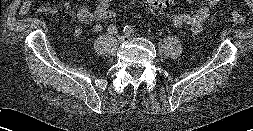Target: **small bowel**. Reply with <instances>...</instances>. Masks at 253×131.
Returning <instances> with one entry per match:
<instances>
[{"mask_svg": "<svg viewBox=\"0 0 253 131\" xmlns=\"http://www.w3.org/2000/svg\"><path fill=\"white\" fill-rule=\"evenodd\" d=\"M185 1L191 4L192 8L188 12L175 15L172 22L177 27L188 26L192 32L198 33L201 31L203 23L210 16L212 9L216 7L221 0H201L200 6H195L194 0ZM32 3L33 0H24L20 8V13H27ZM110 3L111 0H100L97 6L92 10L86 7L75 10L70 0H64L63 7L69 14L75 15L80 22L85 24L94 23L93 30L95 32H100L102 30L100 24V22H102V13L110 7ZM44 11L49 14L57 13V10L53 7L46 8ZM81 33L82 29L80 27H76L73 31L75 36H79Z\"/></svg>", "mask_w": 253, "mask_h": 131, "instance_id": "c3829d8e", "label": "small bowel"}]
</instances>
